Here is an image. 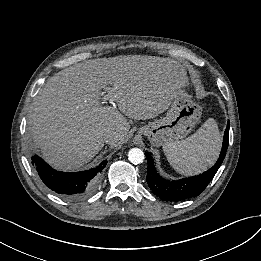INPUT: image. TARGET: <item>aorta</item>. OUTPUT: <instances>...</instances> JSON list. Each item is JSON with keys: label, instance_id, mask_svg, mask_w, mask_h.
<instances>
[{"label": "aorta", "instance_id": "762f6f07", "mask_svg": "<svg viewBox=\"0 0 261 261\" xmlns=\"http://www.w3.org/2000/svg\"><path fill=\"white\" fill-rule=\"evenodd\" d=\"M128 159L132 164H140L144 161V153L139 148H132L128 152Z\"/></svg>", "mask_w": 261, "mask_h": 261}]
</instances>
